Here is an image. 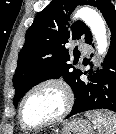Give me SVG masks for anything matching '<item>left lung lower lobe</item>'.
<instances>
[{
    "label": "left lung lower lobe",
    "instance_id": "obj_1",
    "mask_svg": "<svg viewBox=\"0 0 116 134\" xmlns=\"http://www.w3.org/2000/svg\"><path fill=\"white\" fill-rule=\"evenodd\" d=\"M105 20L111 31V41L102 69L97 70L93 75L84 72L92 81L87 84L80 80L79 77L83 74L80 73L73 87L75 101L68 117L94 109H109L116 112V11L114 7L107 13ZM89 44H92V41Z\"/></svg>",
    "mask_w": 116,
    "mask_h": 134
}]
</instances>
